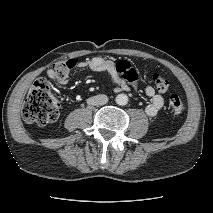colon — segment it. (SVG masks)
Listing matches in <instances>:
<instances>
[{
    "label": "colon",
    "mask_w": 213,
    "mask_h": 213,
    "mask_svg": "<svg viewBox=\"0 0 213 213\" xmlns=\"http://www.w3.org/2000/svg\"><path fill=\"white\" fill-rule=\"evenodd\" d=\"M75 60L61 61L53 66L56 74L65 76L74 67ZM131 65L127 61H119L116 64V72L120 75H128ZM154 84L159 92H166L169 81L161 74L153 75ZM169 107L173 115L179 116L185 109L184 100L178 94H171ZM60 111V104L54 95L51 84L43 78L37 79L31 86L22 108V117L28 123L47 125L54 122Z\"/></svg>",
    "instance_id": "1"
}]
</instances>
